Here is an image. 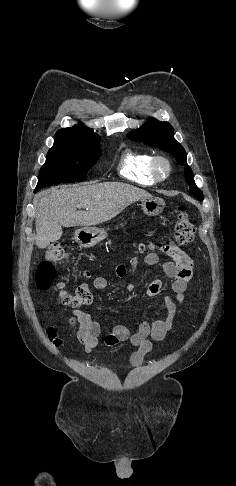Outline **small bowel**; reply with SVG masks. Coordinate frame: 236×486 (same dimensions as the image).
<instances>
[{
	"label": "small bowel",
	"instance_id": "1",
	"mask_svg": "<svg viewBox=\"0 0 236 486\" xmlns=\"http://www.w3.org/2000/svg\"><path fill=\"white\" fill-rule=\"evenodd\" d=\"M161 250L171 257L172 261L161 263L158 254L152 252L145 256L144 262L150 266H160L166 277L172 281L173 295H165L162 299L165 316L153 322L143 321L136 332H131L125 325L117 324L105 338L108 346H114L118 342H129L137 348L130 356L132 366H138L143 362L145 355L152 350L153 341H162L170 332L175 315L181 313L185 291L193 275V261L184 251L174 245H164ZM139 264L137 257L131 258L130 270L134 272ZM115 271L118 277H124L127 273L126 266L123 264H119ZM92 285L97 290H104L108 287V282L104 277H96L93 279ZM128 291L134 293L135 286L129 284ZM161 291L162 281L152 279L147 284L145 293L148 297L153 298L159 296ZM67 321L85 351L91 353L99 342L102 332L100 323L94 320L89 313L79 310L71 311Z\"/></svg>",
	"mask_w": 236,
	"mask_h": 486
}]
</instances>
